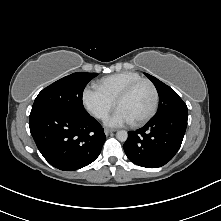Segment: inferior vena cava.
I'll return each instance as SVG.
<instances>
[{
  "label": "inferior vena cava",
  "instance_id": "obj_1",
  "mask_svg": "<svg viewBox=\"0 0 221 221\" xmlns=\"http://www.w3.org/2000/svg\"><path fill=\"white\" fill-rule=\"evenodd\" d=\"M106 116V113L102 112L99 114V117H105Z\"/></svg>",
  "mask_w": 221,
  "mask_h": 221
}]
</instances>
